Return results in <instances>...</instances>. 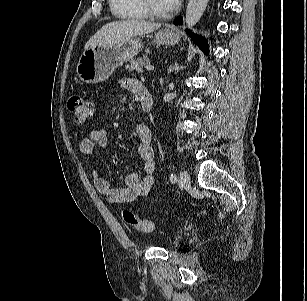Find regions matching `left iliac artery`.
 <instances>
[{"label":"left iliac artery","mask_w":307,"mask_h":301,"mask_svg":"<svg viewBox=\"0 0 307 301\" xmlns=\"http://www.w3.org/2000/svg\"><path fill=\"white\" fill-rule=\"evenodd\" d=\"M170 181H171L172 183H176V182H177V175L172 173V174L170 175Z\"/></svg>","instance_id":"left-iliac-artery-1"}]
</instances>
